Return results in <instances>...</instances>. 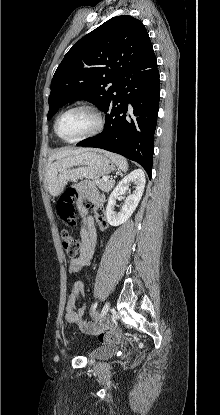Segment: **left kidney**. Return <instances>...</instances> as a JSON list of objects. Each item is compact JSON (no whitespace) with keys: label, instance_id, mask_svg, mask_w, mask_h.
<instances>
[{"label":"left kidney","instance_id":"5707ae66","mask_svg":"<svg viewBox=\"0 0 220 415\" xmlns=\"http://www.w3.org/2000/svg\"><path fill=\"white\" fill-rule=\"evenodd\" d=\"M133 182L136 187L132 194L126 197L125 204L120 212L115 211L116 199L119 195L124 194L129 190L130 183ZM146 179L145 174L141 169H136L125 176L111 193L107 208V221L112 226H119L125 223L133 214L138 203L143 195Z\"/></svg>","mask_w":220,"mask_h":415}]
</instances>
